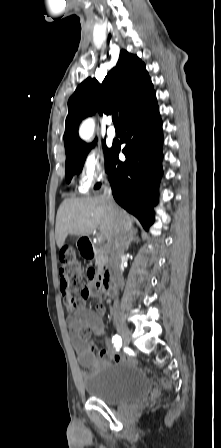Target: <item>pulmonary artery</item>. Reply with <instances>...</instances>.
<instances>
[{"instance_id":"obj_1","label":"pulmonary artery","mask_w":221,"mask_h":448,"mask_svg":"<svg viewBox=\"0 0 221 448\" xmlns=\"http://www.w3.org/2000/svg\"><path fill=\"white\" fill-rule=\"evenodd\" d=\"M107 135L111 139L116 137V130H115L114 126L111 124V121L109 122V127L107 129Z\"/></svg>"}]
</instances>
